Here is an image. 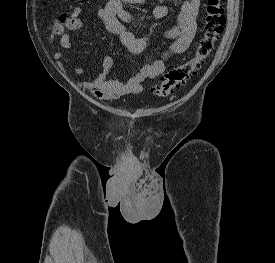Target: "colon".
I'll return each instance as SVG.
<instances>
[{
	"mask_svg": "<svg viewBox=\"0 0 275 263\" xmlns=\"http://www.w3.org/2000/svg\"><path fill=\"white\" fill-rule=\"evenodd\" d=\"M226 18L221 0H206L203 33L194 52L183 63L166 70L151 89L153 96L164 98L196 76L215 50Z\"/></svg>",
	"mask_w": 275,
	"mask_h": 263,
	"instance_id": "1",
	"label": "colon"
}]
</instances>
